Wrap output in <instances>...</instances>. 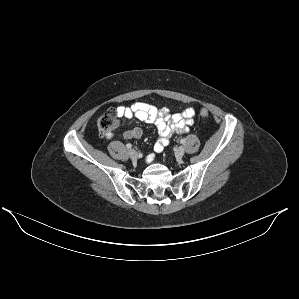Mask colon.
Returning a JSON list of instances; mask_svg holds the SVG:
<instances>
[{
    "mask_svg": "<svg viewBox=\"0 0 299 299\" xmlns=\"http://www.w3.org/2000/svg\"><path fill=\"white\" fill-rule=\"evenodd\" d=\"M209 113L206 109L200 111V116L203 118L208 117ZM98 128L103 133L113 132L117 127V114L108 111L99 117L97 121Z\"/></svg>",
    "mask_w": 299,
    "mask_h": 299,
    "instance_id": "obj_1",
    "label": "colon"
}]
</instances>
